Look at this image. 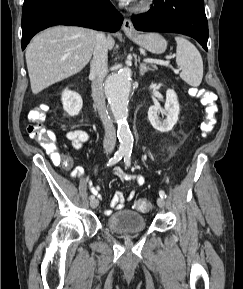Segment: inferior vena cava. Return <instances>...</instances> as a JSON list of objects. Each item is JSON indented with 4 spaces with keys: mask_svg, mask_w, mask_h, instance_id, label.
I'll return each instance as SVG.
<instances>
[{
    "mask_svg": "<svg viewBox=\"0 0 243 289\" xmlns=\"http://www.w3.org/2000/svg\"><path fill=\"white\" fill-rule=\"evenodd\" d=\"M108 40L103 33H98L90 63V78L92 79V97L105 129L103 147L108 153L112 152L116 145V130L106 110L103 93V81L108 72Z\"/></svg>",
    "mask_w": 243,
    "mask_h": 289,
    "instance_id": "obj_1",
    "label": "inferior vena cava"
}]
</instances>
